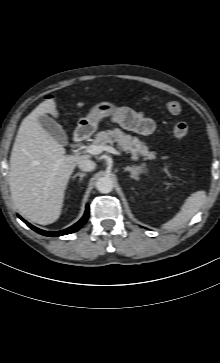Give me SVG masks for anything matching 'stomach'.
I'll list each match as a JSON object with an SVG mask.
<instances>
[{"mask_svg": "<svg viewBox=\"0 0 220 363\" xmlns=\"http://www.w3.org/2000/svg\"><path fill=\"white\" fill-rule=\"evenodd\" d=\"M115 110L116 106L111 102L98 103L90 110L86 117L78 120V127L94 133L98 128L99 121L112 115Z\"/></svg>", "mask_w": 220, "mask_h": 363, "instance_id": "1", "label": "stomach"}]
</instances>
